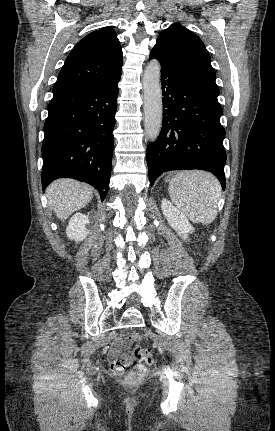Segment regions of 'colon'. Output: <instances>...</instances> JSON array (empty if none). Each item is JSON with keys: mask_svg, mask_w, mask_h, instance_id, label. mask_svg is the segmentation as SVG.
Wrapping results in <instances>:
<instances>
[{"mask_svg": "<svg viewBox=\"0 0 275 431\" xmlns=\"http://www.w3.org/2000/svg\"><path fill=\"white\" fill-rule=\"evenodd\" d=\"M131 340L135 342H140L142 340V336L137 332L132 333L130 336L126 337L127 342H130ZM133 356V367L126 378V382L128 384L139 383L145 375V367L143 363L150 365L154 361L152 351L147 348L136 347L133 352ZM119 367H121V363H119ZM117 371L120 372L121 370L119 369Z\"/></svg>", "mask_w": 275, "mask_h": 431, "instance_id": "obj_1", "label": "colon"}]
</instances>
